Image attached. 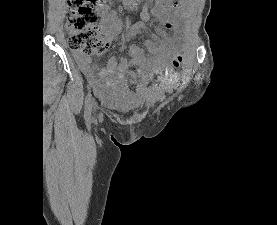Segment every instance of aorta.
<instances>
[{
  "label": "aorta",
  "instance_id": "obj_1",
  "mask_svg": "<svg viewBox=\"0 0 277 225\" xmlns=\"http://www.w3.org/2000/svg\"><path fill=\"white\" fill-rule=\"evenodd\" d=\"M125 4L127 5V8L130 11H133L135 9V0H124Z\"/></svg>",
  "mask_w": 277,
  "mask_h": 225
}]
</instances>
